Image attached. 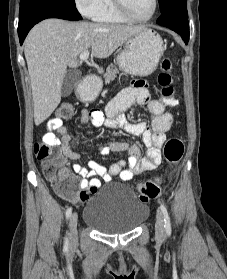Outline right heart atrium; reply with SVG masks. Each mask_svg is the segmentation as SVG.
Segmentation results:
<instances>
[{"mask_svg":"<svg viewBox=\"0 0 227 279\" xmlns=\"http://www.w3.org/2000/svg\"><path fill=\"white\" fill-rule=\"evenodd\" d=\"M104 0H74L77 8L86 16L93 17Z\"/></svg>","mask_w":227,"mask_h":279,"instance_id":"obj_1","label":"right heart atrium"}]
</instances>
